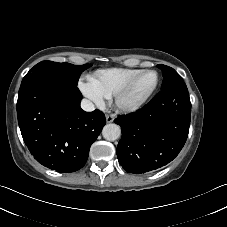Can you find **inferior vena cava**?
I'll return each instance as SVG.
<instances>
[{
  "mask_svg": "<svg viewBox=\"0 0 227 227\" xmlns=\"http://www.w3.org/2000/svg\"><path fill=\"white\" fill-rule=\"evenodd\" d=\"M81 108L86 112H91L95 109V105L88 99L81 101Z\"/></svg>",
  "mask_w": 227,
  "mask_h": 227,
  "instance_id": "602c4592",
  "label": "inferior vena cava"
}]
</instances>
